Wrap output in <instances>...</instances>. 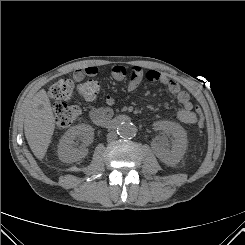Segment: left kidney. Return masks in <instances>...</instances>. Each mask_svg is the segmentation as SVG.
Returning <instances> with one entry per match:
<instances>
[{
    "label": "left kidney",
    "instance_id": "obj_1",
    "mask_svg": "<svg viewBox=\"0 0 245 245\" xmlns=\"http://www.w3.org/2000/svg\"><path fill=\"white\" fill-rule=\"evenodd\" d=\"M157 126L166 134L173 136L171 149H166L164 143L156 146L157 157L166 164H176L183 157L187 148V136L182 126L179 124L161 121L157 123Z\"/></svg>",
    "mask_w": 245,
    "mask_h": 245
}]
</instances>
